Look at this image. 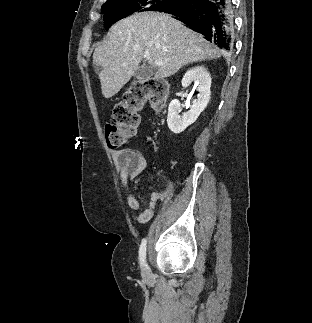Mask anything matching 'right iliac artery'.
I'll use <instances>...</instances> for the list:
<instances>
[{
    "instance_id": "right-iliac-artery-1",
    "label": "right iliac artery",
    "mask_w": 312,
    "mask_h": 323,
    "mask_svg": "<svg viewBox=\"0 0 312 323\" xmlns=\"http://www.w3.org/2000/svg\"><path fill=\"white\" fill-rule=\"evenodd\" d=\"M146 244H147L146 239H143L139 248V260H140L141 266H145Z\"/></svg>"
}]
</instances>
